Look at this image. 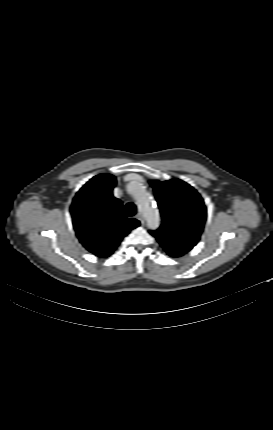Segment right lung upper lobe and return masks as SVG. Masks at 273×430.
<instances>
[{"label":"right lung upper lobe","instance_id":"cb5924a9","mask_svg":"<svg viewBox=\"0 0 273 430\" xmlns=\"http://www.w3.org/2000/svg\"><path fill=\"white\" fill-rule=\"evenodd\" d=\"M115 184L110 174L93 177L77 192L70 208L79 241L98 257L111 255L122 238L140 225L123 215L121 201L112 195Z\"/></svg>","mask_w":273,"mask_h":430}]
</instances>
